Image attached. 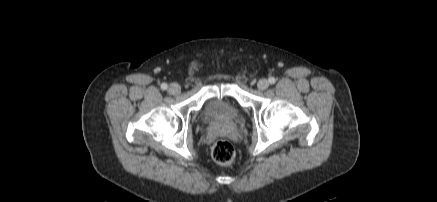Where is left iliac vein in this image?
Instances as JSON below:
<instances>
[{
	"mask_svg": "<svg viewBox=\"0 0 437 202\" xmlns=\"http://www.w3.org/2000/svg\"><path fill=\"white\" fill-rule=\"evenodd\" d=\"M259 90H266L269 87V82L267 79H260L257 83Z\"/></svg>",
	"mask_w": 437,
	"mask_h": 202,
	"instance_id": "4c4485c4",
	"label": "left iliac vein"
}]
</instances>
